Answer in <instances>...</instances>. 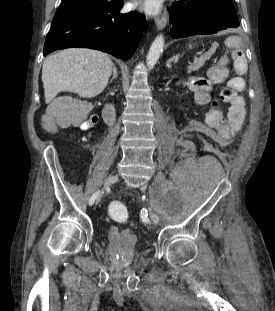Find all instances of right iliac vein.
Masks as SVG:
<instances>
[{
  "label": "right iliac vein",
  "instance_id": "right-iliac-vein-1",
  "mask_svg": "<svg viewBox=\"0 0 275 311\" xmlns=\"http://www.w3.org/2000/svg\"><path fill=\"white\" fill-rule=\"evenodd\" d=\"M118 180V175L117 174H111L107 177V179L105 180L104 183V188H107L109 186H111L112 184H114L115 182H117ZM101 195H99L96 199V203H98L100 201Z\"/></svg>",
  "mask_w": 275,
  "mask_h": 311
}]
</instances>
